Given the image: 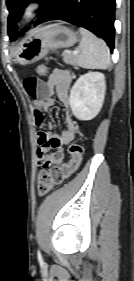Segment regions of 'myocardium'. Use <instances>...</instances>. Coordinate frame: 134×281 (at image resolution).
Wrapping results in <instances>:
<instances>
[{
	"mask_svg": "<svg viewBox=\"0 0 134 281\" xmlns=\"http://www.w3.org/2000/svg\"><path fill=\"white\" fill-rule=\"evenodd\" d=\"M43 0H27L23 3L20 10V17L23 21H31L43 8Z\"/></svg>",
	"mask_w": 134,
	"mask_h": 281,
	"instance_id": "f54148a6",
	"label": "myocardium"
}]
</instances>
